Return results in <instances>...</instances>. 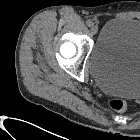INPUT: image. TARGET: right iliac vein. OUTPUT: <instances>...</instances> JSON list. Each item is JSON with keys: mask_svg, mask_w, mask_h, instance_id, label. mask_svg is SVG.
Wrapping results in <instances>:
<instances>
[{"mask_svg": "<svg viewBox=\"0 0 140 140\" xmlns=\"http://www.w3.org/2000/svg\"><path fill=\"white\" fill-rule=\"evenodd\" d=\"M97 32H98V27H97L96 25H93V26L91 27V33H92L93 35H95Z\"/></svg>", "mask_w": 140, "mask_h": 140, "instance_id": "63e3f726", "label": "right iliac vein"}]
</instances>
